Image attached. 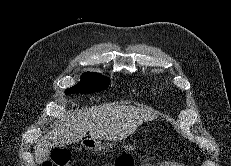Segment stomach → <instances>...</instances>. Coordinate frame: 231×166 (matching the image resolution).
I'll use <instances>...</instances> for the list:
<instances>
[{
    "instance_id": "obj_1",
    "label": "stomach",
    "mask_w": 231,
    "mask_h": 166,
    "mask_svg": "<svg viewBox=\"0 0 231 166\" xmlns=\"http://www.w3.org/2000/svg\"><path fill=\"white\" fill-rule=\"evenodd\" d=\"M103 145L99 141H91V144L87 146V148L91 150L101 149Z\"/></svg>"
}]
</instances>
